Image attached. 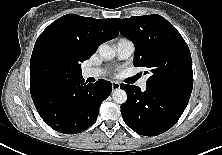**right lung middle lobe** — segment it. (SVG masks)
<instances>
[{"mask_svg": "<svg viewBox=\"0 0 222 155\" xmlns=\"http://www.w3.org/2000/svg\"><path fill=\"white\" fill-rule=\"evenodd\" d=\"M74 76H80L81 75V68H77L75 72H73Z\"/></svg>", "mask_w": 222, "mask_h": 155, "instance_id": "right-lung-middle-lobe-1", "label": "right lung middle lobe"}]
</instances>
